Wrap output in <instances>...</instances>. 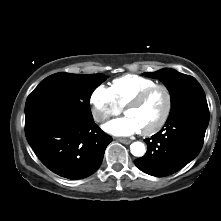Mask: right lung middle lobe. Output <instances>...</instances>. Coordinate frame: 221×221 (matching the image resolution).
Returning <instances> with one entry per match:
<instances>
[{
	"instance_id": "obj_1",
	"label": "right lung middle lobe",
	"mask_w": 221,
	"mask_h": 221,
	"mask_svg": "<svg viewBox=\"0 0 221 221\" xmlns=\"http://www.w3.org/2000/svg\"><path fill=\"white\" fill-rule=\"evenodd\" d=\"M105 80L103 74H53L45 78L28 96L25 114L40 107L54 106L80 120L91 121L90 97Z\"/></svg>"
}]
</instances>
